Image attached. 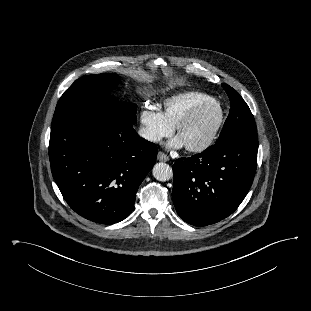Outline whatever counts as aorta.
I'll return each instance as SVG.
<instances>
[{
    "label": "aorta",
    "instance_id": "762f6f07",
    "mask_svg": "<svg viewBox=\"0 0 311 311\" xmlns=\"http://www.w3.org/2000/svg\"><path fill=\"white\" fill-rule=\"evenodd\" d=\"M152 173L156 180L162 182L170 180L173 176L172 168L163 162L156 163L153 167Z\"/></svg>",
    "mask_w": 311,
    "mask_h": 311
}]
</instances>
